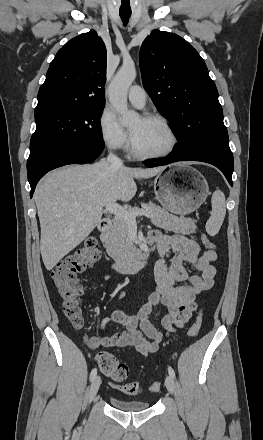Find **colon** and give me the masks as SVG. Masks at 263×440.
I'll return each mask as SVG.
<instances>
[{
  "label": "colon",
  "mask_w": 263,
  "mask_h": 440,
  "mask_svg": "<svg viewBox=\"0 0 263 440\" xmlns=\"http://www.w3.org/2000/svg\"><path fill=\"white\" fill-rule=\"evenodd\" d=\"M201 240L207 249H215V244L207 236L202 235ZM99 258L98 241L95 238H88L83 245L60 261L52 270V279L61 297L64 313L75 328H80L83 324V287L79 283L78 274L95 264ZM199 331L200 322L196 321L190 327L188 336L194 338ZM98 365L103 374L116 382L125 380L129 375L128 366L106 352L98 355ZM160 388L161 384L154 382L150 390L158 392ZM121 389L128 394H137L140 385L137 382H128L122 385Z\"/></svg>",
  "instance_id": "obj_1"
}]
</instances>
